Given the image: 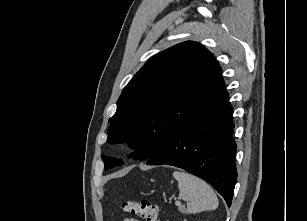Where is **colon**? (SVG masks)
Returning a JSON list of instances; mask_svg holds the SVG:
<instances>
[{
  "mask_svg": "<svg viewBox=\"0 0 307 221\" xmlns=\"http://www.w3.org/2000/svg\"><path fill=\"white\" fill-rule=\"evenodd\" d=\"M122 208L145 221H159V207L148 200H128L122 203Z\"/></svg>",
  "mask_w": 307,
  "mask_h": 221,
  "instance_id": "1",
  "label": "colon"
}]
</instances>
